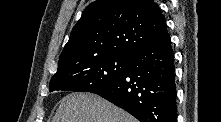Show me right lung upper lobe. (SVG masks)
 Returning <instances> with one entry per match:
<instances>
[{"label":"right lung upper lobe","mask_w":221,"mask_h":122,"mask_svg":"<svg viewBox=\"0 0 221 122\" xmlns=\"http://www.w3.org/2000/svg\"><path fill=\"white\" fill-rule=\"evenodd\" d=\"M165 30V18L153 0H97L73 27L56 74L102 56L133 57Z\"/></svg>","instance_id":"1"}]
</instances>
